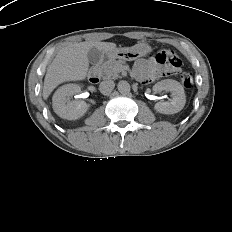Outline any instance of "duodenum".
<instances>
[{
  "label": "duodenum",
  "instance_id": "duodenum-1",
  "mask_svg": "<svg viewBox=\"0 0 232 232\" xmlns=\"http://www.w3.org/2000/svg\"><path fill=\"white\" fill-rule=\"evenodd\" d=\"M100 79V65L95 64L89 70V81L91 83H97Z\"/></svg>",
  "mask_w": 232,
  "mask_h": 232
}]
</instances>
